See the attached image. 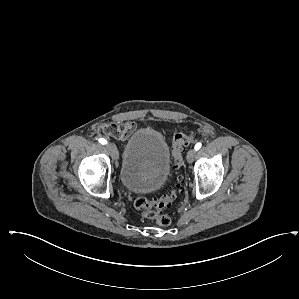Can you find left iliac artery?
<instances>
[{
    "instance_id": "44dca946",
    "label": "left iliac artery",
    "mask_w": 299,
    "mask_h": 299,
    "mask_svg": "<svg viewBox=\"0 0 299 299\" xmlns=\"http://www.w3.org/2000/svg\"><path fill=\"white\" fill-rule=\"evenodd\" d=\"M202 144L200 142L196 143L194 149L195 151H198L201 148Z\"/></svg>"
}]
</instances>
